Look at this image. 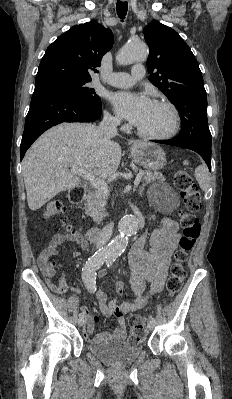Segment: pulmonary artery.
Wrapping results in <instances>:
<instances>
[{"label":"pulmonary artery","mask_w":232,"mask_h":399,"mask_svg":"<svg viewBox=\"0 0 232 399\" xmlns=\"http://www.w3.org/2000/svg\"><path fill=\"white\" fill-rule=\"evenodd\" d=\"M134 68L131 73H125L123 69H120L118 73L116 70H109L105 75V83L112 85V88L107 90H117V88L118 90H132V84H140L143 78L142 70H144L145 65L144 63H135Z\"/></svg>","instance_id":"pulmonary-artery-1"}]
</instances>
